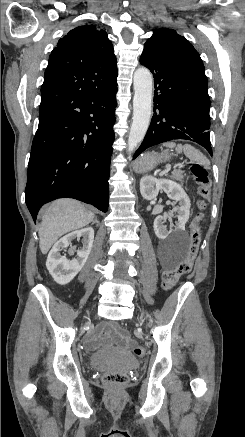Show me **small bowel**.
<instances>
[{"instance_id": "1", "label": "small bowel", "mask_w": 245, "mask_h": 437, "mask_svg": "<svg viewBox=\"0 0 245 437\" xmlns=\"http://www.w3.org/2000/svg\"><path fill=\"white\" fill-rule=\"evenodd\" d=\"M100 331L108 336L116 338L119 343L129 347L133 344L132 340L123 331H116L114 328L103 326Z\"/></svg>"}]
</instances>
